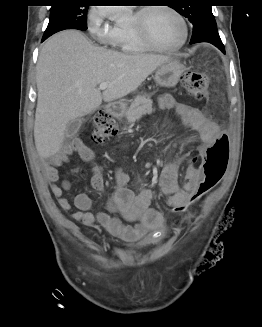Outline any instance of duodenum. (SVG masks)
Returning a JSON list of instances; mask_svg holds the SVG:
<instances>
[{
	"mask_svg": "<svg viewBox=\"0 0 262 327\" xmlns=\"http://www.w3.org/2000/svg\"><path fill=\"white\" fill-rule=\"evenodd\" d=\"M107 112L114 117H118L122 112V107L119 104H111L108 106Z\"/></svg>",
	"mask_w": 262,
	"mask_h": 327,
	"instance_id": "obj_1",
	"label": "duodenum"
}]
</instances>
